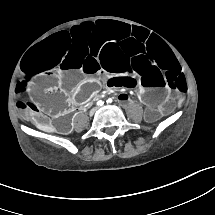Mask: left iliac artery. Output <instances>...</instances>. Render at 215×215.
I'll return each mask as SVG.
<instances>
[{"label": "left iliac artery", "mask_w": 215, "mask_h": 215, "mask_svg": "<svg viewBox=\"0 0 215 215\" xmlns=\"http://www.w3.org/2000/svg\"><path fill=\"white\" fill-rule=\"evenodd\" d=\"M111 102H112V99L109 98V99L107 100V103H111Z\"/></svg>", "instance_id": "left-iliac-artery-1"}]
</instances>
